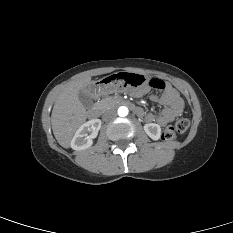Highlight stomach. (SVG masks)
<instances>
[{
	"label": "stomach",
	"instance_id": "1",
	"mask_svg": "<svg viewBox=\"0 0 233 233\" xmlns=\"http://www.w3.org/2000/svg\"><path fill=\"white\" fill-rule=\"evenodd\" d=\"M149 77L142 73L124 72L120 76L117 74H109L105 77L104 82L93 83V88L97 96L109 94L113 91L124 89H132L135 86L147 84Z\"/></svg>",
	"mask_w": 233,
	"mask_h": 233
}]
</instances>
